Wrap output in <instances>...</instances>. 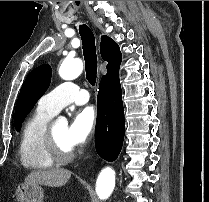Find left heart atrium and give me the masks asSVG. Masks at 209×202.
Wrapping results in <instances>:
<instances>
[{"label": "left heart atrium", "mask_w": 209, "mask_h": 202, "mask_svg": "<svg viewBox=\"0 0 209 202\" xmlns=\"http://www.w3.org/2000/svg\"><path fill=\"white\" fill-rule=\"evenodd\" d=\"M97 121V113L94 106H85L75 111L68 126L66 139L74 148L84 144L93 133Z\"/></svg>", "instance_id": "left-heart-atrium-1"}]
</instances>
